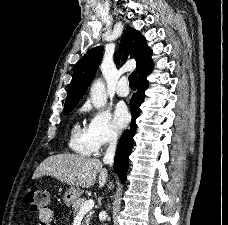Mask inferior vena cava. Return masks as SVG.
<instances>
[{
	"instance_id": "1",
	"label": "inferior vena cava",
	"mask_w": 228,
	"mask_h": 225,
	"mask_svg": "<svg viewBox=\"0 0 228 225\" xmlns=\"http://www.w3.org/2000/svg\"><path fill=\"white\" fill-rule=\"evenodd\" d=\"M117 145V133L115 131H110V141L109 147L104 155L103 163L104 165H110L112 167L114 161V155Z\"/></svg>"
}]
</instances>
